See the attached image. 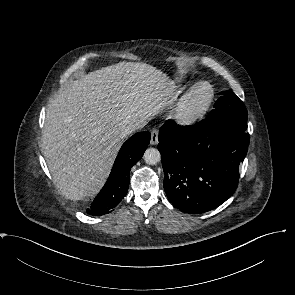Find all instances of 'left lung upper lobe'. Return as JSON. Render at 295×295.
Instances as JSON below:
<instances>
[{
	"instance_id": "left-lung-upper-lobe-1",
	"label": "left lung upper lobe",
	"mask_w": 295,
	"mask_h": 295,
	"mask_svg": "<svg viewBox=\"0 0 295 295\" xmlns=\"http://www.w3.org/2000/svg\"><path fill=\"white\" fill-rule=\"evenodd\" d=\"M221 94L207 117L247 126L248 113L243 102L232 91Z\"/></svg>"
}]
</instances>
